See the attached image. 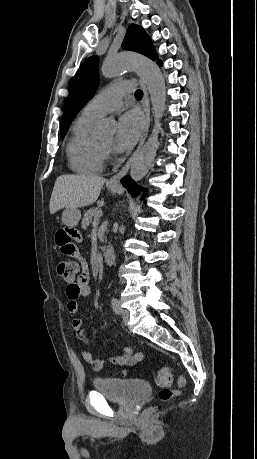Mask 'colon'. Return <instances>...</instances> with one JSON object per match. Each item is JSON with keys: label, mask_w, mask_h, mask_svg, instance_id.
Masks as SVG:
<instances>
[{"label": "colon", "mask_w": 257, "mask_h": 459, "mask_svg": "<svg viewBox=\"0 0 257 459\" xmlns=\"http://www.w3.org/2000/svg\"><path fill=\"white\" fill-rule=\"evenodd\" d=\"M80 267H82V264H68L66 260H62L57 263L56 272L57 275L65 281L73 282L79 273ZM171 383L172 368L167 365L162 366L155 377V384L160 388L158 393L160 401L167 402L177 396L180 390L185 386L186 381L183 377H180L176 389L170 387Z\"/></svg>", "instance_id": "5ec220e1"}]
</instances>
